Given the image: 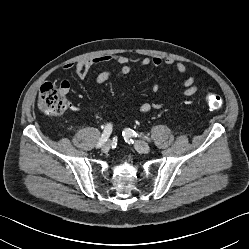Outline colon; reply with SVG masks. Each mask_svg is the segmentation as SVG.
I'll return each mask as SVG.
<instances>
[{
	"mask_svg": "<svg viewBox=\"0 0 249 249\" xmlns=\"http://www.w3.org/2000/svg\"><path fill=\"white\" fill-rule=\"evenodd\" d=\"M210 109L218 110L223 106L222 98L212 92L205 97ZM69 107V102L60 87L52 83H45L41 86L38 94V108L47 115L57 116L63 114Z\"/></svg>",
	"mask_w": 249,
	"mask_h": 249,
	"instance_id": "5ec220e1",
	"label": "colon"
}]
</instances>
